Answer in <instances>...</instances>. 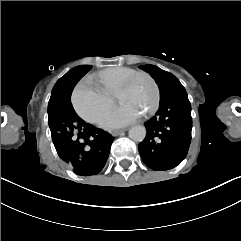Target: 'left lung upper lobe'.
I'll return each instance as SVG.
<instances>
[{"label":"left lung upper lobe","mask_w":241,"mask_h":241,"mask_svg":"<svg viewBox=\"0 0 241 241\" xmlns=\"http://www.w3.org/2000/svg\"><path fill=\"white\" fill-rule=\"evenodd\" d=\"M141 69L150 73L160 89V98H164L174 91L184 90L179 80L171 73L166 72L154 65H143Z\"/></svg>","instance_id":"5c2ea615"}]
</instances>
